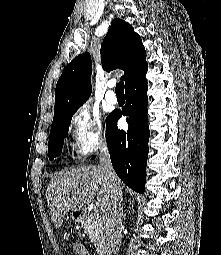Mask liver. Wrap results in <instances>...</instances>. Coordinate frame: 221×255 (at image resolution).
I'll use <instances>...</instances> for the list:
<instances>
[{"label": "liver", "instance_id": "1", "mask_svg": "<svg viewBox=\"0 0 221 255\" xmlns=\"http://www.w3.org/2000/svg\"><path fill=\"white\" fill-rule=\"evenodd\" d=\"M116 183L121 186L118 177ZM111 191L112 184L105 180L97 165L78 166L54 174L46 190L52 222L60 228L69 210H86L95 196L105 210Z\"/></svg>", "mask_w": 221, "mask_h": 255}]
</instances>
